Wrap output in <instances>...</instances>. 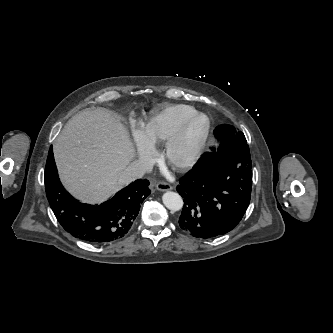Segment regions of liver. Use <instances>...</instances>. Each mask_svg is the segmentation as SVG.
Masks as SVG:
<instances>
[{
	"label": "liver",
	"mask_w": 333,
	"mask_h": 333,
	"mask_svg": "<svg viewBox=\"0 0 333 333\" xmlns=\"http://www.w3.org/2000/svg\"><path fill=\"white\" fill-rule=\"evenodd\" d=\"M53 150L62 183L88 203H101L118 191L124 185L120 176L135 156L123 125L104 108L73 116Z\"/></svg>",
	"instance_id": "6515ba94"
}]
</instances>
